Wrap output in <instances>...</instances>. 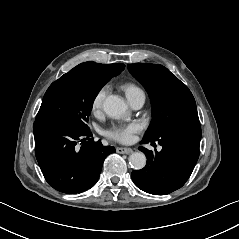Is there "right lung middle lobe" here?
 <instances>
[{
  "label": "right lung middle lobe",
  "instance_id": "dd1d6c3e",
  "mask_svg": "<svg viewBox=\"0 0 239 239\" xmlns=\"http://www.w3.org/2000/svg\"><path fill=\"white\" fill-rule=\"evenodd\" d=\"M109 79L70 70L47 89L35 120L58 118L87 130L95 97Z\"/></svg>",
  "mask_w": 239,
  "mask_h": 239
}]
</instances>
